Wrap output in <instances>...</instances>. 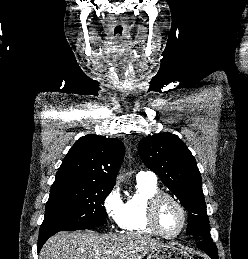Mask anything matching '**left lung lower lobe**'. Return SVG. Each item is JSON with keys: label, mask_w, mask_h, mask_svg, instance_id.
Returning <instances> with one entry per match:
<instances>
[{"label": "left lung lower lobe", "mask_w": 248, "mask_h": 259, "mask_svg": "<svg viewBox=\"0 0 248 259\" xmlns=\"http://www.w3.org/2000/svg\"><path fill=\"white\" fill-rule=\"evenodd\" d=\"M197 246L204 250L211 259H218L217 247L211 240H204L198 243Z\"/></svg>", "instance_id": "1"}]
</instances>
